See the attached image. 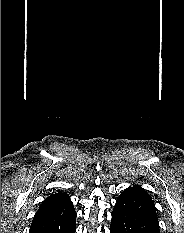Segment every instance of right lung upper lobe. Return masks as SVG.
<instances>
[{"label":"right lung upper lobe","instance_id":"cb5924a9","mask_svg":"<svg viewBox=\"0 0 184 233\" xmlns=\"http://www.w3.org/2000/svg\"><path fill=\"white\" fill-rule=\"evenodd\" d=\"M66 205H72L69 196L66 193L58 192L47 197L39 207L37 213Z\"/></svg>","mask_w":184,"mask_h":233}]
</instances>
